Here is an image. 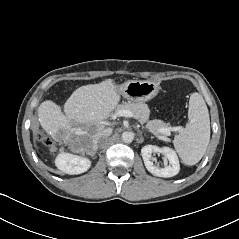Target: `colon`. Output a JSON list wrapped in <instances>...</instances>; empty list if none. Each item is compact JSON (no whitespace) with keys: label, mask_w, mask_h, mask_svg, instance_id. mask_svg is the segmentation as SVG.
Here are the masks:
<instances>
[{"label":"colon","mask_w":239,"mask_h":239,"mask_svg":"<svg viewBox=\"0 0 239 239\" xmlns=\"http://www.w3.org/2000/svg\"><path fill=\"white\" fill-rule=\"evenodd\" d=\"M37 137H38L39 140H41L42 142H44L47 145L52 144L51 139L48 136H46L43 132H39Z\"/></svg>","instance_id":"obj_1"}]
</instances>
